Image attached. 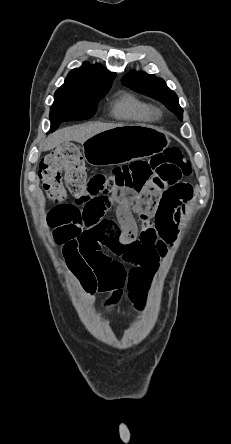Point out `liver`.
<instances>
[{
  "label": "liver",
  "mask_w": 231,
  "mask_h": 444,
  "mask_svg": "<svg viewBox=\"0 0 231 444\" xmlns=\"http://www.w3.org/2000/svg\"><path fill=\"white\" fill-rule=\"evenodd\" d=\"M122 126L124 125L92 122L80 126L63 128L57 130L47 138L43 150H52L55 147H58L60 144L67 143L69 141H75L83 144L87 139L100 132Z\"/></svg>",
  "instance_id": "liver-1"
}]
</instances>
